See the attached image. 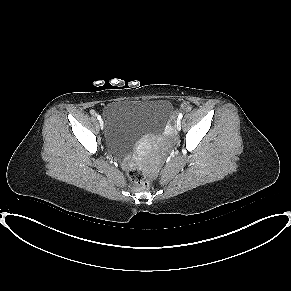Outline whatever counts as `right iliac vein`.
<instances>
[{
    "label": "right iliac vein",
    "instance_id": "1",
    "mask_svg": "<svg viewBox=\"0 0 291 291\" xmlns=\"http://www.w3.org/2000/svg\"><path fill=\"white\" fill-rule=\"evenodd\" d=\"M100 126L103 127V120H100Z\"/></svg>",
    "mask_w": 291,
    "mask_h": 291
}]
</instances>
